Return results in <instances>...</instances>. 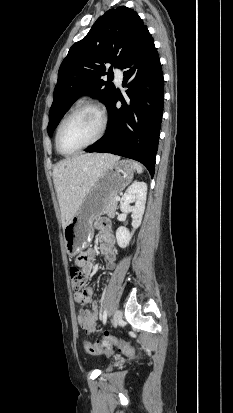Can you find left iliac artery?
I'll use <instances>...</instances> for the list:
<instances>
[{"label":"left iliac artery","mask_w":233,"mask_h":413,"mask_svg":"<svg viewBox=\"0 0 233 413\" xmlns=\"http://www.w3.org/2000/svg\"><path fill=\"white\" fill-rule=\"evenodd\" d=\"M102 320H103V323H104V324H105L106 321H107V311H106V310H104V312H103Z\"/></svg>","instance_id":"1"}]
</instances>
